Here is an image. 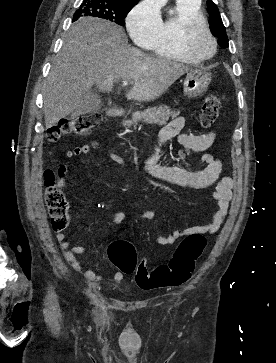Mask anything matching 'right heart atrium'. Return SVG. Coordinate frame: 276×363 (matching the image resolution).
<instances>
[{
	"mask_svg": "<svg viewBox=\"0 0 276 363\" xmlns=\"http://www.w3.org/2000/svg\"><path fill=\"white\" fill-rule=\"evenodd\" d=\"M160 7L156 0H142L129 12L126 25L131 38L140 45L150 44L161 26Z\"/></svg>",
	"mask_w": 276,
	"mask_h": 363,
	"instance_id": "d8ad5b80",
	"label": "right heart atrium"
}]
</instances>
